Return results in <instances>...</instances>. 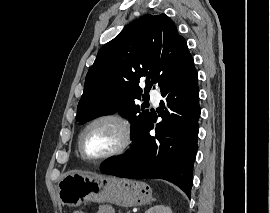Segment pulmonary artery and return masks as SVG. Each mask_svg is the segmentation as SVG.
<instances>
[{"mask_svg":"<svg viewBox=\"0 0 270 213\" xmlns=\"http://www.w3.org/2000/svg\"><path fill=\"white\" fill-rule=\"evenodd\" d=\"M150 97H151L152 102H153L155 105H157V104L159 103V101H160L161 95H160L157 91L152 90V91L150 92Z\"/></svg>","mask_w":270,"mask_h":213,"instance_id":"obj_1","label":"pulmonary artery"}]
</instances>
